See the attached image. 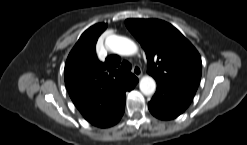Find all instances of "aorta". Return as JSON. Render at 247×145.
<instances>
[{
    "mask_svg": "<svg viewBox=\"0 0 247 145\" xmlns=\"http://www.w3.org/2000/svg\"><path fill=\"white\" fill-rule=\"evenodd\" d=\"M106 45L112 52L124 56L133 55L138 50L137 45L132 40L117 35L109 36ZM139 87L144 95H152L156 89V82L147 75L141 78Z\"/></svg>",
    "mask_w": 247,
    "mask_h": 145,
    "instance_id": "1",
    "label": "aorta"
}]
</instances>
